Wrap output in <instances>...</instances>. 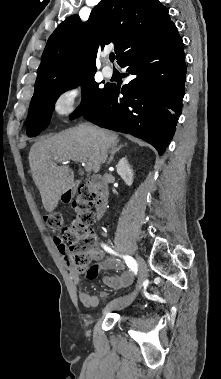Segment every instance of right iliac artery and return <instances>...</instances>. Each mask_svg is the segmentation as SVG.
Segmentation results:
<instances>
[{
	"label": "right iliac artery",
	"mask_w": 221,
	"mask_h": 379,
	"mask_svg": "<svg viewBox=\"0 0 221 379\" xmlns=\"http://www.w3.org/2000/svg\"><path fill=\"white\" fill-rule=\"evenodd\" d=\"M103 248L109 252V253H112V254H116V252H114L110 247H108L107 245L105 244H102ZM127 266L135 273L137 274V271H138V265H137V262L131 257V256H123Z\"/></svg>",
	"instance_id": "82829eb1"
}]
</instances>
